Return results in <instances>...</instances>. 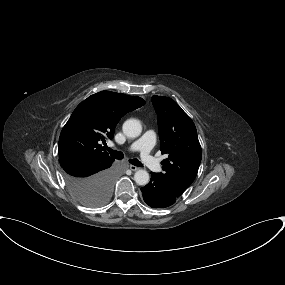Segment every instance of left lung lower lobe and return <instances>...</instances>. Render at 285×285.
I'll return each instance as SVG.
<instances>
[{
    "instance_id": "left-lung-lower-lobe-1",
    "label": "left lung lower lobe",
    "mask_w": 285,
    "mask_h": 285,
    "mask_svg": "<svg viewBox=\"0 0 285 285\" xmlns=\"http://www.w3.org/2000/svg\"><path fill=\"white\" fill-rule=\"evenodd\" d=\"M144 201L152 208H165L181 195L158 173L151 172L150 182L141 189Z\"/></svg>"
}]
</instances>
